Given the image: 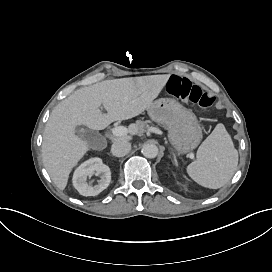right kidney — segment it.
<instances>
[{"label": "right kidney", "instance_id": "ca27d5eb", "mask_svg": "<svg viewBox=\"0 0 272 272\" xmlns=\"http://www.w3.org/2000/svg\"><path fill=\"white\" fill-rule=\"evenodd\" d=\"M100 177L96 185L87 183V177L92 175ZM73 186L83 196H96L106 189L111 181L110 168L103 164L102 159L95 157L83 162L73 174Z\"/></svg>", "mask_w": 272, "mask_h": 272}]
</instances>
